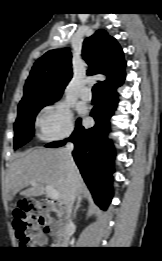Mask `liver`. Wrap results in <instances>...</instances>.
Returning a JSON list of instances; mask_svg holds the SVG:
<instances>
[{
    "label": "liver",
    "instance_id": "6515ba94",
    "mask_svg": "<svg viewBox=\"0 0 162 261\" xmlns=\"http://www.w3.org/2000/svg\"><path fill=\"white\" fill-rule=\"evenodd\" d=\"M67 155L65 149L34 148L21 153L12 162L6 179V199L14 196L29 186L31 180L36 181L21 193L27 197L41 196L46 185L59 192V201L64 204L68 191ZM83 179L76 167V197L82 199L84 192Z\"/></svg>",
    "mask_w": 162,
    "mask_h": 261
}]
</instances>
